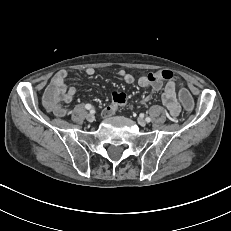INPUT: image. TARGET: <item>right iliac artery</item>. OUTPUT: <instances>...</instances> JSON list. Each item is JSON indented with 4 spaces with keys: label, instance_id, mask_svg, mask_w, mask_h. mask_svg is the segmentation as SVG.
Returning <instances> with one entry per match:
<instances>
[{
    "label": "right iliac artery",
    "instance_id": "82829eb1",
    "mask_svg": "<svg viewBox=\"0 0 231 231\" xmlns=\"http://www.w3.org/2000/svg\"><path fill=\"white\" fill-rule=\"evenodd\" d=\"M85 108H86L87 110H91V109H92V106H91L90 104H86V105H85Z\"/></svg>",
    "mask_w": 231,
    "mask_h": 231
}]
</instances>
